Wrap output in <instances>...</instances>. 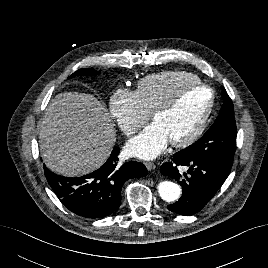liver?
Segmentation results:
<instances>
[{
	"instance_id": "6515ba94",
	"label": "liver",
	"mask_w": 268,
	"mask_h": 268,
	"mask_svg": "<svg viewBox=\"0 0 268 268\" xmlns=\"http://www.w3.org/2000/svg\"><path fill=\"white\" fill-rule=\"evenodd\" d=\"M115 141L111 116L93 95L60 93L46 108L39 146L46 166L59 175L76 177L99 168Z\"/></svg>"
}]
</instances>
